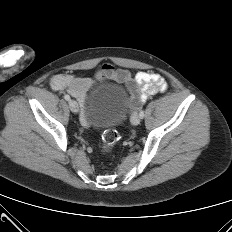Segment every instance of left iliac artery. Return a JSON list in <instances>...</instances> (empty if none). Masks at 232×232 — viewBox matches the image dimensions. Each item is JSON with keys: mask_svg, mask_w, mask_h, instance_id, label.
Wrapping results in <instances>:
<instances>
[{"mask_svg": "<svg viewBox=\"0 0 232 232\" xmlns=\"http://www.w3.org/2000/svg\"><path fill=\"white\" fill-rule=\"evenodd\" d=\"M139 116H140L141 119L144 118L145 114H144V111H143V110L140 111Z\"/></svg>", "mask_w": 232, "mask_h": 232, "instance_id": "left-iliac-artery-1", "label": "left iliac artery"}]
</instances>
